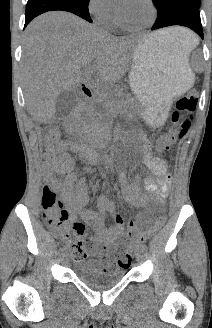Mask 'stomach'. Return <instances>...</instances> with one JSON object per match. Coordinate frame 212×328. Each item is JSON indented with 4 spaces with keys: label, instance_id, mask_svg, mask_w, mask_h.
Listing matches in <instances>:
<instances>
[{
    "label": "stomach",
    "instance_id": "obj_1",
    "mask_svg": "<svg viewBox=\"0 0 212 328\" xmlns=\"http://www.w3.org/2000/svg\"><path fill=\"white\" fill-rule=\"evenodd\" d=\"M129 81L143 115L159 126L170 102L191 88L194 74L181 47L148 36L134 50Z\"/></svg>",
    "mask_w": 212,
    "mask_h": 328
}]
</instances>
